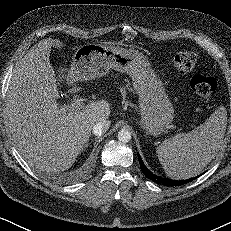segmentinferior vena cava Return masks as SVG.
I'll use <instances>...</instances> for the list:
<instances>
[{"mask_svg": "<svg viewBox=\"0 0 231 231\" xmlns=\"http://www.w3.org/2000/svg\"><path fill=\"white\" fill-rule=\"evenodd\" d=\"M110 127V121L106 120V121H100L97 122L94 126H93V134H95L96 136H101L102 134H104Z\"/></svg>", "mask_w": 231, "mask_h": 231, "instance_id": "1", "label": "inferior vena cava"}]
</instances>
